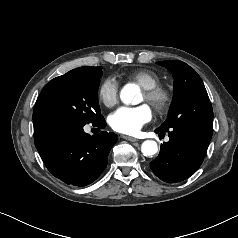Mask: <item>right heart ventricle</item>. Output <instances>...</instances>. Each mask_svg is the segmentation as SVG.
Wrapping results in <instances>:
<instances>
[{"label": "right heart ventricle", "mask_w": 238, "mask_h": 238, "mask_svg": "<svg viewBox=\"0 0 238 238\" xmlns=\"http://www.w3.org/2000/svg\"><path fill=\"white\" fill-rule=\"evenodd\" d=\"M128 79L136 82L143 89L155 87L160 84V77L148 69L135 70L127 75Z\"/></svg>", "instance_id": "1"}]
</instances>
